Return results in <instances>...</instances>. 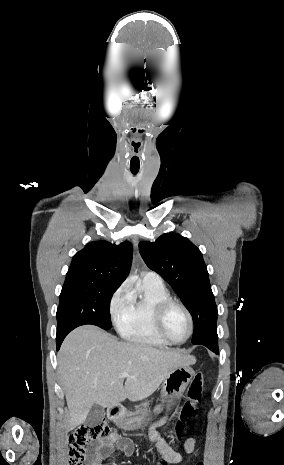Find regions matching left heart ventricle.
<instances>
[{
  "instance_id": "b2bd125f",
  "label": "left heart ventricle",
  "mask_w": 284,
  "mask_h": 465,
  "mask_svg": "<svg viewBox=\"0 0 284 465\" xmlns=\"http://www.w3.org/2000/svg\"><path fill=\"white\" fill-rule=\"evenodd\" d=\"M166 335L173 341L183 340L189 331L186 313L180 307H173L167 314L164 324Z\"/></svg>"
}]
</instances>
